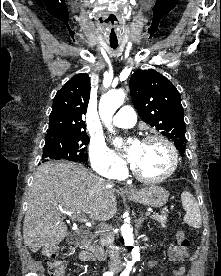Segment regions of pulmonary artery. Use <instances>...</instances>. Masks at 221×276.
<instances>
[{"instance_id":"pulmonary-artery-1","label":"pulmonary artery","mask_w":221,"mask_h":276,"mask_svg":"<svg viewBox=\"0 0 221 276\" xmlns=\"http://www.w3.org/2000/svg\"><path fill=\"white\" fill-rule=\"evenodd\" d=\"M135 123L136 113L130 106H123L113 118V124L121 128L132 127Z\"/></svg>"}]
</instances>
